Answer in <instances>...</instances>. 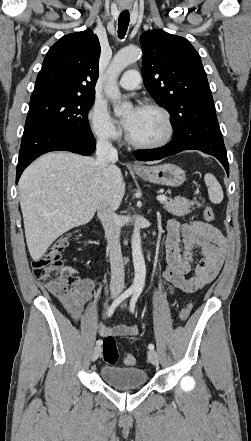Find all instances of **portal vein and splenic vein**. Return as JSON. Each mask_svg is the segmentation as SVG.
Segmentation results:
<instances>
[{"label": "portal vein and splenic vein", "mask_w": 251, "mask_h": 441, "mask_svg": "<svg viewBox=\"0 0 251 441\" xmlns=\"http://www.w3.org/2000/svg\"><path fill=\"white\" fill-rule=\"evenodd\" d=\"M157 200L162 203V202L167 201V197L164 195H159V196H157Z\"/></svg>", "instance_id": "18ae733b"}]
</instances>
